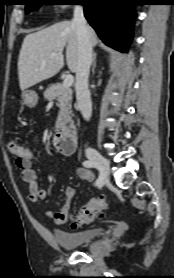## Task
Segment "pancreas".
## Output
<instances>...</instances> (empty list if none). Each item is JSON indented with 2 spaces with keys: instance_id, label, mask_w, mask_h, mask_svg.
<instances>
[{
  "instance_id": "obj_1",
  "label": "pancreas",
  "mask_w": 174,
  "mask_h": 278,
  "mask_svg": "<svg viewBox=\"0 0 174 278\" xmlns=\"http://www.w3.org/2000/svg\"><path fill=\"white\" fill-rule=\"evenodd\" d=\"M44 98L48 101L57 100L56 105L60 108L58 121L64 120L62 125H65L71 119L72 89L60 83L52 84L45 90Z\"/></svg>"
}]
</instances>
